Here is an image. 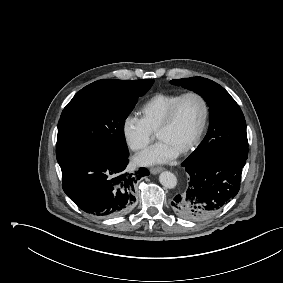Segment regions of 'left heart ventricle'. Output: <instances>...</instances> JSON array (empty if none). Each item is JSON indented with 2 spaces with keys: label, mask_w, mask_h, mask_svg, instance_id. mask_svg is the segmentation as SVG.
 Segmentation results:
<instances>
[{
  "label": "left heart ventricle",
  "mask_w": 283,
  "mask_h": 283,
  "mask_svg": "<svg viewBox=\"0 0 283 283\" xmlns=\"http://www.w3.org/2000/svg\"><path fill=\"white\" fill-rule=\"evenodd\" d=\"M202 113V105L197 98H186L181 103L172 126L161 132L158 139L181 152L194 139L202 120Z\"/></svg>",
  "instance_id": "left-heart-ventricle-1"
}]
</instances>
